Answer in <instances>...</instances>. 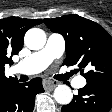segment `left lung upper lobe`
<instances>
[{"instance_id":"1","label":"left lung upper lobe","mask_w":112,"mask_h":112,"mask_svg":"<svg viewBox=\"0 0 112 112\" xmlns=\"http://www.w3.org/2000/svg\"><path fill=\"white\" fill-rule=\"evenodd\" d=\"M47 27L63 35L67 57L64 65H77L88 84L112 86V37L99 24L78 15L44 19Z\"/></svg>"}]
</instances>
